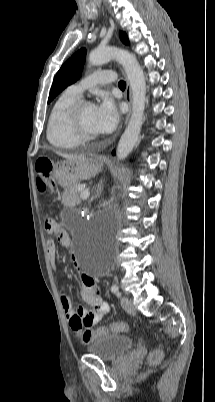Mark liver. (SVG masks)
Instances as JSON below:
<instances>
[{
    "label": "liver",
    "mask_w": 215,
    "mask_h": 402,
    "mask_svg": "<svg viewBox=\"0 0 215 402\" xmlns=\"http://www.w3.org/2000/svg\"><path fill=\"white\" fill-rule=\"evenodd\" d=\"M62 157H64L67 160H71V159H76L78 158V156L76 155H68V154H60Z\"/></svg>",
    "instance_id": "6515ba94"
}]
</instances>
